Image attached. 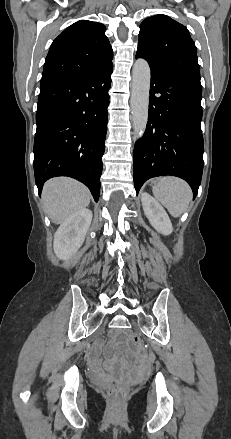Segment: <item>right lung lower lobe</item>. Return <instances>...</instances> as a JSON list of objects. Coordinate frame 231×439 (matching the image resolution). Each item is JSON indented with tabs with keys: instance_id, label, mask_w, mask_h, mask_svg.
<instances>
[{
	"instance_id": "98d812e1",
	"label": "right lung lower lobe",
	"mask_w": 231,
	"mask_h": 439,
	"mask_svg": "<svg viewBox=\"0 0 231 439\" xmlns=\"http://www.w3.org/2000/svg\"><path fill=\"white\" fill-rule=\"evenodd\" d=\"M112 72L110 63L88 77L41 87L34 140L39 194L47 179L69 176L98 201Z\"/></svg>"
}]
</instances>
